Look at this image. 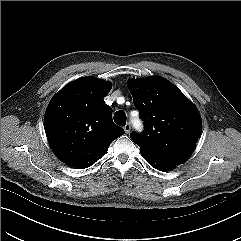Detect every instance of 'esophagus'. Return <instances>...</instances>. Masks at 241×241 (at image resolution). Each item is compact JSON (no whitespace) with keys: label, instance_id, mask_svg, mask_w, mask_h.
<instances>
[{"label":"esophagus","instance_id":"esophagus-1","mask_svg":"<svg viewBox=\"0 0 241 241\" xmlns=\"http://www.w3.org/2000/svg\"><path fill=\"white\" fill-rule=\"evenodd\" d=\"M130 129H131V126L129 123H127L125 126H124V131L125 133H129L130 132Z\"/></svg>","mask_w":241,"mask_h":241}]
</instances>
